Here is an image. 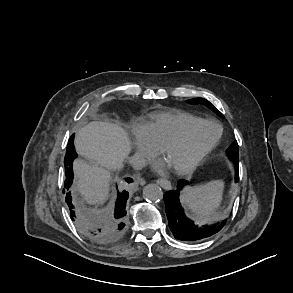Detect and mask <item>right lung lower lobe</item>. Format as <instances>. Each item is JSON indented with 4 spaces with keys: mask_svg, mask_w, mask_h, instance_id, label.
I'll list each match as a JSON object with an SVG mask.
<instances>
[{
    "mask_svg": "<svg viewBox=\"0 0 293 293\" xmlns=\"http://www.w3.org/2000/svg\"><path fill=\"white\" fill-rule=\"evenodd\" d=\"M73 142L74 134L68 141L64 159L66 175L64 186L67 190L73 181L72 163L77 157ZM126 181L130 183L131 179L127 178ZM128 196L129 194L125 190L117 193L115 211L108 217L93 213H84L77 216L70 192L66 193V202L70 209L71 219L73 221L77 219L78 227L89 239L101 244H112L122 239L127 231L128 224L125 207Z\"/></svg>",
    "mask_w": 293,
    "mask_h": 293,
    "instance_id": "obj_1",
    "label": "right lung lower lobe"
}]
</instances>
